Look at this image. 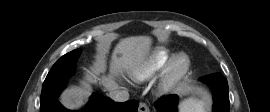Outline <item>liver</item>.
Listing matches in <instances>:
<instances>
[{"label": "liver", "mask_w": 270, "mask_h": 112, "mask_svg": "<svg viewBox=\"0 0 270 112\" xmlns=\"http://www.w3.org/2000/svg\"><path fill=\"white\" fill-rule=\"evenodd\" d=\"M151 42V38L148 36H132L120 40L112 54V61L110 63L111 73L108 76H104L100 81L106 90L111 92L118 88L113 76L122 75L125 71L133 74L145 63ZM103 68L104 60L103 57H100L94 65L93 72L97 73L103 70ZM86 79L90 82L94 81V75H87ZM83 85L84 91L87 92L89 90L88 83L84 82ZM63 99L65 105L69 108L79 107L83 103L80 97H76L70 92H67Z\"/></svg>", "instance_id": "obj_1"}]
</instances>
